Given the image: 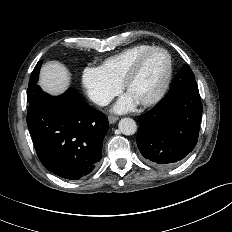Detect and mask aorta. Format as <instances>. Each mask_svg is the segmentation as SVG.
<instances>
[{"mask_svg":"<svg viewBox=\"0 0 232 232\" xmlns=\"http://www.w3.org/2000/svg\"><path fill=\"white\" fill-rule=\"evenodd\" d=\"M118 128L124 135H133L137 130V125L133 119L126 117L119 121Z\"/></svg>","mask_w":232,"mask_h":232,"instance_id":"762f6f07","label":"aorta"}]
</instances>
